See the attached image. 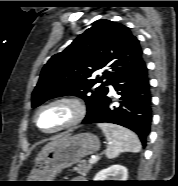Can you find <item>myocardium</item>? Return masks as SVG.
Here are the masks:
<instances>
[{"mask_svg":"<svg viewBox=\"0 0 178 186\" xmlns=\"http://www.w3.org/2000/svg\"><path fill=\"white\" fill-rule=\"evenodd\" d=\"M56 104L68 105L72 109L71 118L65 124L61 125L60 127L56 129H53V130L42 129L38 124V120H37L38 114L44 108H47V107H50ZM86 113H87L86 106L79 98L73 97V96H62V97L54 98L40 105L34 113L33 121H34L35 126L41 132L52 135V134H56V133L71 129L73 127H76L78 124H80L84 120Z\"/></svg>","mask_w":178,"mask_h":186,"instance_id":"1","label":"myocardium"}]
</instances>
